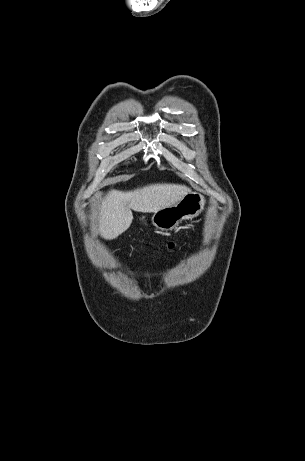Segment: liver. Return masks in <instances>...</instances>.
Masks as SVG:
<instances>
[{
	"mask_svg": "<svg viewBox=\"0 0 305 461\" xmlns=\"http://www.w3.org/2000/svg\"><path fill=\"white\" fill-rule=\"evenodd\" d=\"M189 192L178 184H151L127 192L112 190L102 202L96 232L107 240L115 239L130 227L131 210L155 213L176 205Z\"/></svg>",
	"mask_w": 305,
	"mask_h": 461,
	"instance_id": "liver-1",
	"label": "liver"
}]
</instances>
